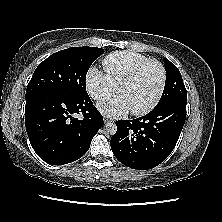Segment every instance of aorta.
Segmentation results:
<instances>
[{
    "label": "aorta",
    "mask_w": 222,
    "mask_h": 222,
    "mask_svg": "<svg viewBox=\"0 0 222 222\" xmlns=\"http://www.w3.org/2000/svg\"><path fill=\"white\" fill-rule=\"evenodd\" d=\"M104 130L107 134L114 135L117 131V126L115 123L108 122L105 124Z\"/></svg>",
    "instance_id": "1"
}]
</instances>
